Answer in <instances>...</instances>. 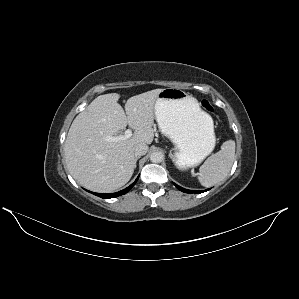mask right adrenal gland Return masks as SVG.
I'll use <instances>...</instances> for the list:
<instances>
[{"mask_svg": "<svg viewBox=\"0 0 299 299\" xmlns=\"http://www.w3.org/2000/svg\"><path fill=\"white\" fill-rule=\"evenodd\" d=\"M139 158H140V157H136V158H135L134 169H136V167H137V160H138Z\"/></svg>", "mask_w": 299, "mask_h": 299, "instance_id": "2a0ac1e0", "label": "right adrenal gland"}]
</instances>
